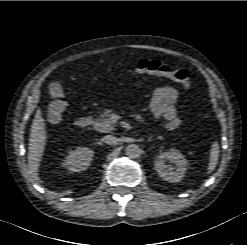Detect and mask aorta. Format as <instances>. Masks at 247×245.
<instances>
[{"instance_id": "obj_1", "label": "aorta", "mask_w": 247, "mask_h": 245, "mask_svg": "<svg viewBox=\"0 0 247 245\" xmlns=\"http://www.w3.org/2000/svg\"><path fill=\"white\" fill-rule=\"evenodd\" d=\"M141 154V150L137 144H130L125 148V155L128 158L134 159L139 157Z\"/></svg>"}]
</instances>
